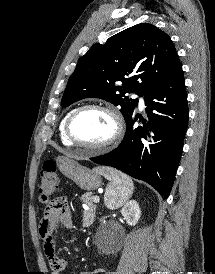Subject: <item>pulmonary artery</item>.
<instances>
[{
    "instance_id": "1",
    "label": "pulmonary artery",
    "mask_w": 215,
    "mask_h": 274,
    "mask_svg": "<svg viewBox=\"0 0 215 274\" xmlns=\"http://www.w3.org/2000/svg\"><path fill=\"white\" fill-rule=\"evenodd\" d=\"M137 97L139 99V107L143 109L145 107L144 98L142 96H139V95H137Z\"/></svg>"
}]
</instances>
